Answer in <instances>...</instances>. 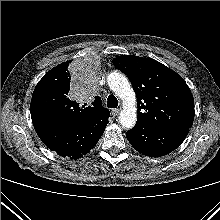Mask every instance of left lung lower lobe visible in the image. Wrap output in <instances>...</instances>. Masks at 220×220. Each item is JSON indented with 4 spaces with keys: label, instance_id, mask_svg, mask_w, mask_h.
<instances>
[{
    "label": "left lung lower lobe",
    "instance_id": "obj_1",
    "mask_svg": "<svg viewBox=\"0 0 220 220\" xmlns=\"http://www.w3.org/2000/svg\"><path fill=\"white\" fill-rule=\"evenodd\" d=\"M188 133L189 127L186 126L154 127L137 122L126 133V138L143 155L161 157L178 148Z\"/></svg>",
    "mask_w": 220,
    "mask_h": 220
}]
</instances>
